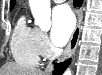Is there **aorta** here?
Wrapping results in <instances>:
<instances>
[{"instance_id":"obj_1","label":"aorta","mask_w":102,"mask_h":75,"mask_svg":"<svg viewBox=\"0 0 102 75\" xmlns=\"http://www.w3.org/2000/svg\"><path fill=\"white\" fill-rule=\"evenodd\" d=\"M31 12L35 19V25L41 30L47 31L51 28V8L50 0H29ZM71 70L68 68L64 75H71Z\"/></svg>"}]
</instances>
